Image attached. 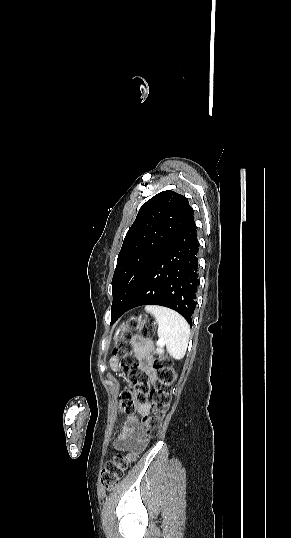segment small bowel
Segmentation results:
<instances>
[{
    "mask_svg": "<svg viewBox=\"0 0 291 538\" xmlns=\"http://www.w3.org/2000/svg\"><path fill=\"white\" fill-rule=\"evenodd\" d=\"M135 344L141 349L143 346V340L136 339ZM112 372L118 371L116 362H113L111 366ZM141 414H147L149 411V404H143L138 407ZM120 430L116 436L115 447L118 450L129 449L130 454L129 461H132L135 456L143 451L148 443V436L140 426L138 420L134 416H127L119 425Z\"/></svg>",
    "mask_w": 291,
    "mask_h": 538,
    "instance_id": "small-bowel-1",
    "label": "small bowel"
}]
</instances>
